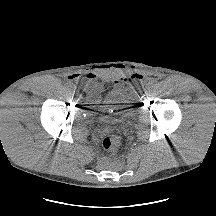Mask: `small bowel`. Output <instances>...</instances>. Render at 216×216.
I'll list each match as a JSON object with an SVG mask.
<instances>
[{"instance_id":"obj_1","label":"small bowel","mask_w":216,"mask_h":216,"mask_svg":"<svg viewBox=\"0 0 216 216\" xmlns=\"http://www.w3.org/2000/svg\"><path fill=\"white\" fill-rule=\"evenodd\" d=\"M88 77V80L90 82V86H91V89H92V95L94 94L95 90L99 87H101V85L95 81V76L94 75H87ZM78 75H71L69 76V81L73 82V81H76L78 80ZM131 78H133L134 80H141L143 78V76L141 74H138V73H135L131 76Z\"/></svg>"}]
</instances>
